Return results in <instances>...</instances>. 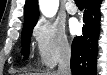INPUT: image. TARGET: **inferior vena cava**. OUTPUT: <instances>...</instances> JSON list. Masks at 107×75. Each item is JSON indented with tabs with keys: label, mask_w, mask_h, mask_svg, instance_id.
<instances>
[{
	"label": "inferior vena cava",
	"mask_w": 107,
	"mask_h": 75,
	"mask_svg": "<svg viewBox=\"0 0 107 75\" xmlns=\"http://www.w3.org/2000/svg\"><path fill=\"white\" fill-rule=\"evenodd\" d=\"M70 61L71 49L69 45H65L61 51L57 75H71Z\"/></svg>",
	"instance_id": "inferior-vena-cava-1"
}]
</instances>
